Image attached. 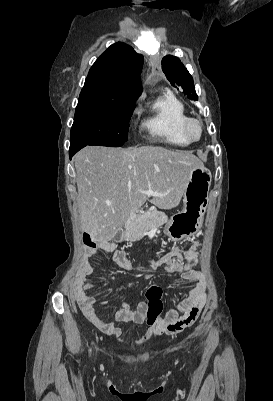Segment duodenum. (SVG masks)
I'll return each instance as SVG.
<instances>
[{
	"label": "duodenum",
	"instance_id": "obj_1",
	"mask_svg": "<svg viewBox=\"0 0 273 401\" xmlns=\"http://www.w3.org/2000/svg\"><path fill=\"white\" fill-rule=\"evenodd\" d=\"M137 218V214L136 213H131L128 217L127 220V226H129L130 224H132Z\"/></svg>",
	"mask_w": 273,
	"mask_h": 401
}]
</instances>
